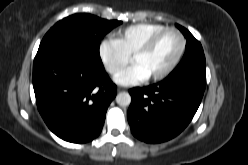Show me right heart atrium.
<instances>
[{
    "instance_id": "d8ad5b80",
    "label": "right heart atrium",
    "mask_w": 248,
    "mask_h": 165,
    "mask_svg": "<svg viewBox=\"0 0 248 165\" xmlns=\"http://www.w3.org/2000/svg\"><path fill=\"white\" fill-rule=\"evenodd\" d=\"M98 54L104 68L111 75L120 73L130 62V56L114 38L102 40Z\"/></svg>"
}]
</instances>
